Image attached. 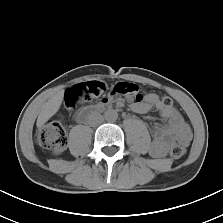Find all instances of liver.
<instances>
[{
	"label": "liver",
	"instance_id": "obj_1",
	"mask_svg": "<svg viewBox=\"0 0 223 223\" xmlns=\"http://www.w3.org/2000/svg\"><path fill=\"white\" fill-rule=\"evenodd\" d=\"M64 92L60 91L51 97L42 107L37 118V127L41 128L60 108Z\"/></svg>",
	"mask_w": 223,
	"mask_h": 223
}]
</instances>
